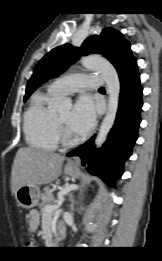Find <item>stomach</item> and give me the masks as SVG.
<instances>
[{
	"mask_svg": "<svg viewBox=\"0 0 162 261\" xmlns=\"http://www.w3.org/2000/svg\"><path fill=\"white\" fill-rule=\"evenodd\" d=\"M65 174L77 177L80 170L77 166L67 164L64 169ZM40 198V189L38 186L23 185L15 192V199L18 204L25 209H31L38 204Z\"/></svg>",
	"mask_w": 162,
	"mask_h": 261,
	"instance_id": "obj_1",
	"label": "stomach"
}]
</instances>
